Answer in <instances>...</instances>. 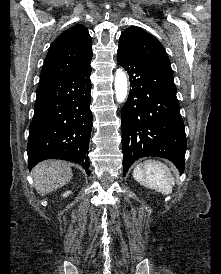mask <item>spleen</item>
<instances>
[{
	"label": "spleen",
	"mask_w": 221,
	"mask_h": 274,
	"mask_svg": "<svg viewBox=\"0 0 221 274\" xmlns=\"http://www.w3.org/2000/svg\"><path fill=\"white\" fill-rule=\"evenodd\" d=\"M133 178L142 186L162 194H170L174 178L169 168L158 161L148 160L138 164L133 170Z\"/></svg>",
	"instance_id": "obj_1"
}]
</instances>
